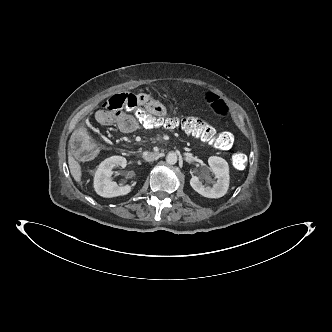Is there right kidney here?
<instances>
[{
    "label": "right kidney",
    "instance_id": "ca27d5eb",
    "mask_svg": "<svg viewBox=\"0 0 332 332\" xmlns=\"http://www.w3.org/2000/svg\"><path fill=\"white\" fill-rule=\"evenodd\" d=\"M120 165L126 167L127 161L122 156H111L100 163L94 175V189L96 193L105 198L127 195L131 192L130 185L120 186L111 180L112 169Z\"/></svg>",
    "mask_w": 332,
    "mask_h": 332
}]
</instances>
